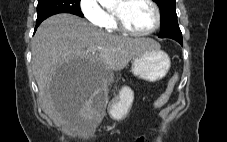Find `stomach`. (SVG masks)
<instances>
[{
    "instance_id": "stomach-1",
    "label": "stomach",
    "mask_w": 227,
    "mask_h": 142,
    "mask_svg": "<svg viewBox=\"0 0 227 142\" xmlns=\"http://www.w3.org/2000/svg\"><path fill=\"white\" fill-rule=\"evenodd\" d=\"M170 58L160 47L149 48L132 59V73L134 76L148 81L156 82L162 79L170 68ZM133 91L123 86L109 106L111 116L116 120L124 119L129 113L133 102Z\"/></svg>"
}]
</instances>
